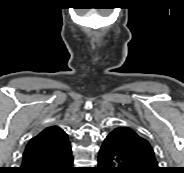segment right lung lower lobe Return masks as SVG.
I'll list each match as a JSON object with an SVG mask.
<instances>
[{"instance_id": "98d812e1", "label": "right lung lower lobe", "mask_w": 184, "mask_h": 173, "mask_svg": "<svg viewBox=\"0 0 184 173\" xmlns=\"http://www.w3.org/2000/svg\"><path fill=\"white\" fill-rule=\"evenodd\" d=\"M17 173H78V170L73 167V156L70 147L57 156L24 163Z\"/></svg>"}]
</instances>
